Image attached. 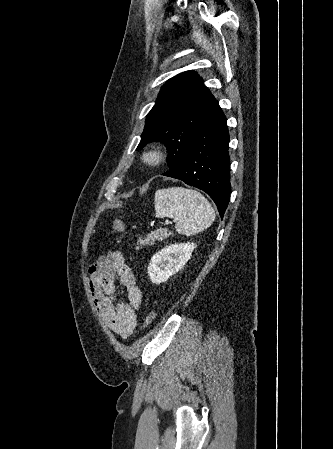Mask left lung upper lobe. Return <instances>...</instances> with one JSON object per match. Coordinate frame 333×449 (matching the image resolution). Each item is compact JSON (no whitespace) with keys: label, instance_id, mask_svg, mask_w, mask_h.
<instances>
[{"label":"left lung upper lobe","instance_id":"left-lung-upper-lobe-1","mask_svg":"<svg viewBox=\"0 0 333 449\" xmlns=\"http://www.w3.org/2000/svg\"><path fill=\"white\" fill-rule=\"evenodd\" d=\"M216 102L194 71L183 72L168 80L147 115L137 150L152 141L163 142L168 149V169L179 167Z\"/></svg>","mask_w":333,"mask_h":449}]
</instances>
